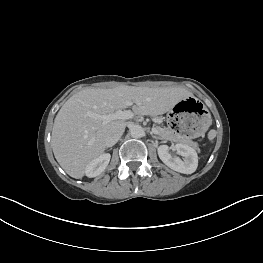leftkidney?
<instances>
[{
    "instance_id": "obj_1",
    "label": "left kidney",
    "mask_w": 263,
    "mask_h": 263,
    "mask_svg": "<svg viewBox=\"0 0 263 263\" xmlns=\"http://www.w3.org/2000/svg\"><path fill=\"white\" fill-rule=\"evenodd\" d=\"M174 149L178 155L183 157V160L172 156L168 152L169 147L167 145H161L158 147V155L162 162L177 172L184 174L194 173L198 166V155L195 149L182 143L176 144Z\"/></svg>"
}]
</instances>
